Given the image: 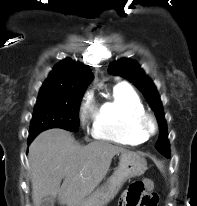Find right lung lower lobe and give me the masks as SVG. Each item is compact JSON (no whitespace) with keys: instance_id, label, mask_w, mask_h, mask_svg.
Listing matches in <instances>:
<instances>
[{"instance_id":"1","label":"right lung lower lobe","mask_w":197,"mask_h":206,"mask_svg":"<svg viewBox=\"0 0 197 206\" xmlns=\"http://www.w3.org/2000/svg\"><path fill=\"white\" fill-rule=\"evenodd\" d=\"M34 138H29L28 139V145L31 143V141L33 140Z\"/></svg>"}]
</instances>
